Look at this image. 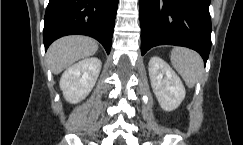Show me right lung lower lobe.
I'll use <instances>...</instances> for the list:
<instances>
[{"instance_id": "1", "label": "right lung lower lobe", "mask_w": 243, "mask_h": 145, "mask_svg": "<svg viewBox=\"0 0 243 145\" xmlns=\"http://www.w3.org/2000/svg\"><path fill=\"white\" fill-rule=\"evenodd\" d=\"M119 0H49L43 40L45 50L56 39L73 34L98 40L109 54Z\"/></svg>"}]
</instances>
